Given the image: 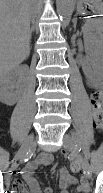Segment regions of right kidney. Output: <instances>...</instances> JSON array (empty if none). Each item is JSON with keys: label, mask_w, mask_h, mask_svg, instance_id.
Returning a JSON list of instances; mask_svg holds the SVG:
<instances>
[{"label": "right kidney", "mask_w": 103, "mask_h": 193, "mask_svg": "<svg viewBox=\"0 0 103 193\" xmlns=\"http://www.w3.org/2000/svg\"><path fill=\"white\" fill-rule=\"evenodd\" d=\"M27 71V67L19 66L15 69L1 73L0 75V101L6 105L12 106L18 101V93L21 87V80L16 76H21Z\"/></svg>", "instance_id": "right-kidney-1"}]
</instances>
